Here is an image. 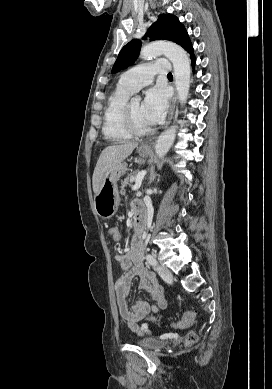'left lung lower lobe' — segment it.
I'll return each mask as SVG.
<instances>
[{
  "label": "left lung lower lobe",
  "mask_w": 272,
  "mask_h": 389,
  "mask_svg": "<svg viewBox=\"0 0 272 389\" xmlns=\"http://www.w3.org/2000/svg\"><path fill=\"white\" fill-rule=\"evenodd\" d=\"M191 56V61H192V66L194 67V64L196 62L195 56H194V51L193 48L188 52Z\"/></svg>",
  "instance_id": "0a47b994"
}]
</instances>
